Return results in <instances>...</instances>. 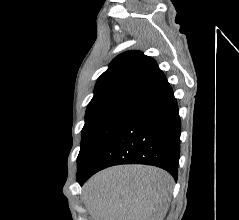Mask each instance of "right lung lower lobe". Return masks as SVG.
Returning a JSON list of instances; mask_svg holds the SVG:
<instances>
[{"mask_svg":"<svg viewBox=\"0 0 239 220\" xmlns=\"http://www.w3.org/2000/svg\"><path fill=\"white\" fill-rule=\"evenodd\" d=\"M181 124L170 84L164 81L134 102L90 171L117 164H147L167 170L177 180Z\"/></svg>","mask_w":239,"mask_h":220,"instance_id":"1","label":"right lung lower lobe"}]
</instances>
